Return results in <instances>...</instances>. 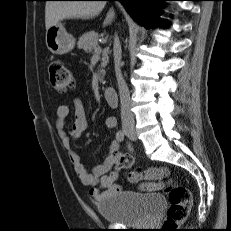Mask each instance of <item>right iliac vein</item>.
<instances>
[{
  "label": "right iliac vein",
  "mask_w": 231,
  "mask_h": 231,
  "mask_svg": "<svg viewBox=\"0 0 231 231\" xmlns=\"http://www.w3.org/2000/svg\"><path fill=\"white\" fill-rule=\"evenodd\" d=\"M125 131H126V134H127L130 138L136 137V134H135V132H134L133 130H131V129H126Z\"/></svg>",
  "instance_id": "63e3f726"
}]
</instances>
